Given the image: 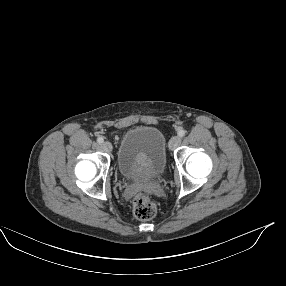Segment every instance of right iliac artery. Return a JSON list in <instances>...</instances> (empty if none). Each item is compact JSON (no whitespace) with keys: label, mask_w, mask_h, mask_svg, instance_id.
I'll use <instances>...</instances> for the list:
<instances>
[{"label":"right iliac artery","mask_w":286,"mask_h":286,"mask_svg":"<svg viewBox=\"0 0 286 286\" xmlns=\"http://www.w3.org/2000/svg\"><path fill=\"white\" fill-rule=\"evenodd\" d=\"M103 141H104L103 137H98V138H97V142H98L99 144L103 143Z\"/></svg>","instance_id":"82829eb1"}]
</instances>
